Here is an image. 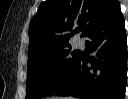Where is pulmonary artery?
Returning <instances> with one entry per match:
<instances>
[{
  "label": "pulmonary artery",
  "mask_w": 128,
  "mask_h": 99,
  "mask_svg": "<svg viewBox=\"0 0 128 99\" xmlns=\"http://www.w3.org/2000/svg\"><path fill=\"white\" fill-rule=\"evenodd\" d=\"M83 45V41L81 39L76 40V46L81 47Z\"/></svg>",
  "instance_id": "e3ab8cb5"
}]
</instances>
